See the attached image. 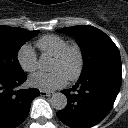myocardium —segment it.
<instances>
[{"label": "myocardium", "instance_id": "f54148a6", "mask_svg": "<svg viewBox=\"0 0 128 128\" xmlns=\"http://www.w3.org/2000/svg\"><path fill=\"white\" fill-rule=\"evenodd\" d=\"M71 54H75L77 56L78 66L76 71L67 79L69 81H75L80 78L85 66V58L82 48L77 43H69L58 55L54 56V60L64 62Z\"/></svg>", "mask_w": 128, "mask_h": 128}]
</instances>
